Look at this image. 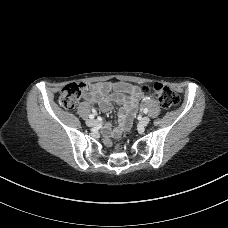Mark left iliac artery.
Wrapping results in <instances>:
<instances>
[{"mask_svg":"<svg viewBox=\"0 0 228 228\" xmlns=\"http://www.w3.org/2000/svg\"><path fill=\"white\" fill-rule=\"evenodd\" d=\"M143 112H144L145 114H147V113H148V109L145 108V109L143 110Z\"/></svg>","mask_w":228,"mask_h":228,"instance_id":"left-iliac-artery-1","label":"left iliac artery"}]
</instances>
